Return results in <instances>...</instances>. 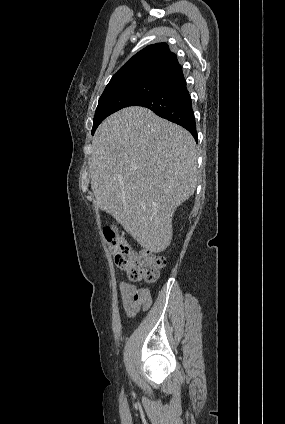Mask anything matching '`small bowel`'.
Here are the masks:
<instances>
[{
	"label": "small bowel",
	"instance_id": "1",
	"mask_svg": "<svg viewBox=\"0 0 285 424\" xmlns=\"http://www.w3.org/2000/svg\"><path fill=\"white\" fill-rule=\"evenodd\" d=\"M122 308L128 318H134L141 310H147L151 305V296L147 289L122 281L120 283Z\"/></svg>",
	"mask_w": 285,
	"mask_h": 424
}]
</instances>
